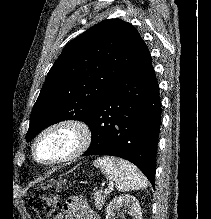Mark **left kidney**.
Instances as JSON below:
<instances>
[{
    "label": "left kidney",
    "mask_w": 211,
    "mask_h": 219,
    "mask_svg": "<svg viewBox=\"0 0 211 219\" xmlns=\"http://www.w3.org/2000/svg\"><path fill=\"white\" fill-rule=\"evenodd\" d=\"M127 210L132 219H142L139 202L131 195H122L112 200L106 210V219H116Z\"/></svg>",
    "instance_id": "obj_1"
}]
</instances>
